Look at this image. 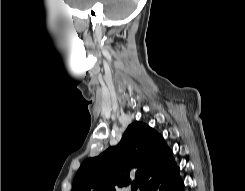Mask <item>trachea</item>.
<instances>
[{
    "label": "trachea",
    "instance_id": "obj_1",
    "mask_svg": "<svg viewBox=\"0 0 245 191\" xmlns=\"http://www.w3.org/2000/svg\"><path fill=\"white\" fill-rule=\"evenodd\" d=\"M137 189H138V185H137L136 183L133 184V185H132V190H133V191H136Z\"/></svg>",
    "mask_w": 245,
    "mask_h": 191
}]
</instances>
